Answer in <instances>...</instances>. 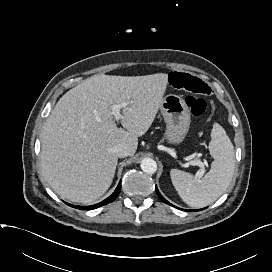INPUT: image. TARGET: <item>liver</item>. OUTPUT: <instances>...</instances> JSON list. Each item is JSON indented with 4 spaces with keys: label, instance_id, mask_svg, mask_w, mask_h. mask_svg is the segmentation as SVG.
Returning <instances> with one entry per match:
<instances>
[{
    "label": "liver",
    "instance_id": "liver-1",
    "mask_svg": "<svg viewBox=\"0 0 272 272\" xmlns=\"http://www.w3.org/2000/svg\"><path fill=\"white\" fill-rule=\"evenodd\" d=\"M168 74L94 75L65 93L41 133V169L62 199L90 204L110 187L118 156L112 148L125 143L137 150L161 107ZM129 102L118 128L111 105Z\"/></svg>",
    "mask_w": 272,
    "mask_h": 272
}]
</instances>
